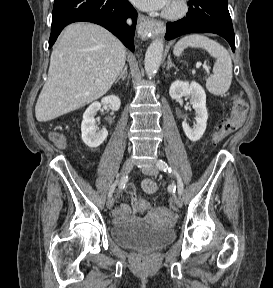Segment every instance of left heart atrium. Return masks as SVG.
Returning a JSON list of instances; mask_svg holds the SVG:
<instances>
[{"instance_id": "1", "label": "left heart atrium", "mask_w": 273, "mask_h": 288, "mask_svg": "<svg viewBox=\"0 0 273 288\" xmlns=\"http://www.w3.org/2000/svg\"><path fill=\"white\" fill-rule=\"evenodd\" d=\"M138 8L150 11L159 10L168 6L170 0H131Z\"/></svg>"}]
</instances>
